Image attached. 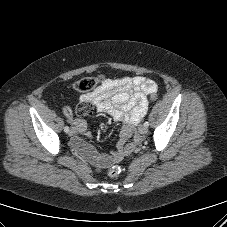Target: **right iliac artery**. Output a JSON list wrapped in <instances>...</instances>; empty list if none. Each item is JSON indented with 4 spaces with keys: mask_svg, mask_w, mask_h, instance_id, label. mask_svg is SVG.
<instances>
[{
    "mask_svg": "<svg viewBox=\"0 0 227 227\" xmlns=\"http://www.w3.org/2000/svg\"><path fill=\"white\" fill-rule=\"evenodd\" d=\"M64 131H65L66 133H68V132H69V127H68V126H65V127H64Z\"/></svg>",
    "mask_w": 227,
    "mask_h": 227,
    "instance_id": "82829eb1",
    "label": "right iliac artery"
}]
</instances>
